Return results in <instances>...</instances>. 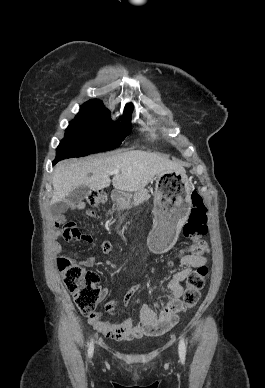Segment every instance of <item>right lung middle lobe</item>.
<instances>
[{"label":"right lung middle lobe","instance_id":"obj_1","mask_svg":"<svg viewBox=\"0 0 265 388\" xmlns=\"http://www.w3.org/2000/svg\"><path fill=\"white\" fill-rule=\"evenodd\" d=\"M133 106L126 105L122 122H112L110 112L100 100H90L80 107L69 123L64 139L57 148L59 159L82 157L119 147L130 133Z\"/></svg>","mask_w":265,"mask_h":388}]
</instances>
